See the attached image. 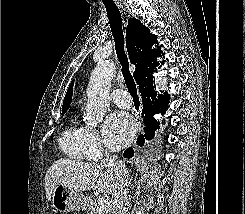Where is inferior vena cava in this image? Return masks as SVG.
<instances>
[{
    "mask_svg": "<svg viewBox=\"0 0 245 214\" xmlns=\"http://www.w3.org/2000/svg\"><path fill=\"white\" fill-rule=\"evenodd\" d=\"M101 165L108 167L117 175V181L112 192V214H126L125 203L127 201L129 178L125 164L118 161L116 155L111 156L106 151Z\"/></svg>",
    "mask_w": 245,
    "mask_h": 214,
    "instance_id": "602c4592",
    "label": "inferior vena cava"
}]
</instances>
